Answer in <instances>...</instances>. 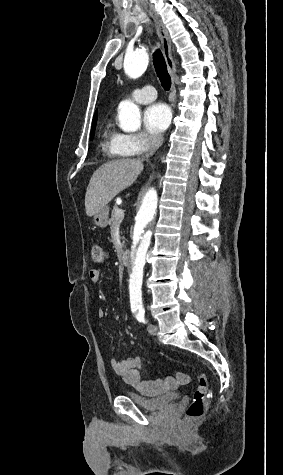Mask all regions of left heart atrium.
Masks as SVG:
<instances>
[{
    "instance_id": "left-heart-atrium-1",
    "label": "left heart atrium",
    "mask_w": 283,
    "mask_h": 475,
    "mask_svg": "<svg viewBox=\"0 0 283 475\" xmlns=\"http://www.w3.org/2000/svg\"><path fill=\"white\" fill-rule=\"evenodd\" d=\"M172 121L171 108L162 102L149 106L144 113L145 127L156 134L166 131Z\"/></svg>"
}]
</instances>
